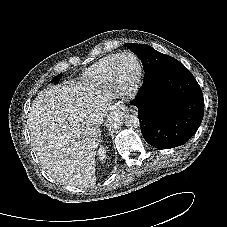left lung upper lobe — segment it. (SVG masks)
I'll return each mask as SVG.
<instances>
[{
  "label": "left lung upper lobe",
  "mask_w": 227,
  "mask_h": 227,
  "mask_svg": "<svg viewBox=\"0 0 227 227\" xmlns=\"http://www.w3.org/2000/svg\"><path fill=\"white\" fill-rule=\"evenodd\" d=\"M127 48L132 50L136 55H138L139 50L144 48V44H135V43H127L125 44ZM158 59L152 63L151 65L143 66L145 75L144 78L156 75L164 70L176 68L180 65H183L175 58L168 56L166 54L158 52Z\"/></svg>",
  "instance_id": "obj_1"
}]
</instances>
